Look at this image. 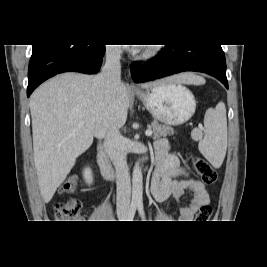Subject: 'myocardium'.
Masks as SVG:
<instances>
[{
    "label": "myocardium",
    "instance_id": "obj_1",
    "mask_svg": "<svg viewBox=\"0 0 267 267\" xmlns=\"http://www.w3.org/2000/svg\"><path fill=\"white\" fill-rule=\"evenodd\" d=\"M157 53H158V48L151 46L145 49V51L142 54V58H150L155 56Z\"/></svg>",
    "mask_w": 267,
    "mask_h": 267
}]
</instances>
